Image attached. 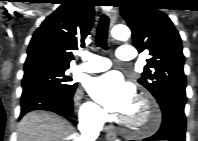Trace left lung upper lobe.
<instances>
[{
  "mask_svg": "<svg viewBox=\"0 0 198 141\" xmlns=\"http://www.w3.org/2000/svg\"><path fill=\"white\" fill-rule=\"evenodd\" d=\"M156 6L153 0H127L121 15L132 31L135 48L149 51L151 58L138 82L159 102L169 95L186 96V76L179 33Z\"/></svg>",
  "mask_w": 198,
  "mask_h": 141,
  "instance_id": "left-lung-upper-lobe-1",
  "label": "left lung upper lobe"
}]
</instances>
